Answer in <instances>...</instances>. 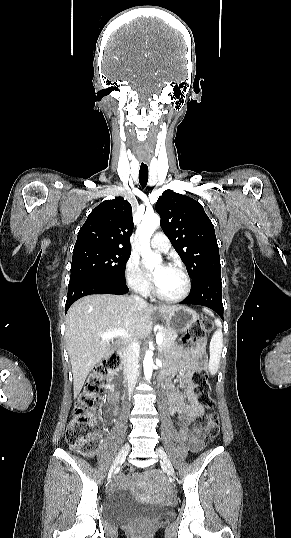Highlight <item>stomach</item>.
Returning <instances> with one entry per match:
<instances>
[{
    "instance_id": "stomach-1",
    "label": "stomach",
    "mask_w": 291,
    "mask_h": 538,
    "mask_svg": "<svg viewBox=\"0 0 291 538\" xmlns=\"http://www.w3.org/2000/svg\"><path fill=\"white\" fill-rule=\"evenodd\" d=\"M197 314L192 309L179 306L163 316L169 330L185 332L197 321Z\"/></svg>"
}]
</instances>
